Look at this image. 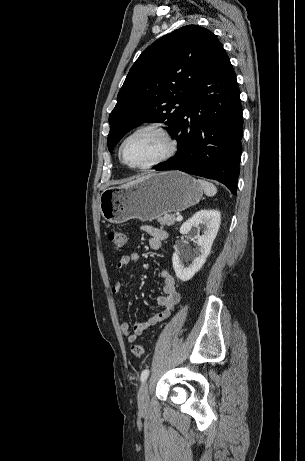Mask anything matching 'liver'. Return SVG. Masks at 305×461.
I'll use <instances>...</instances> for the list:
<instances>
[{
    "mask_svg": "<svg viewBox=\"0 0 305 461\" xmlns=\"http://www.w3.org/2000/svg\"><path fill=\"white\" fill-rule=\"evenodd\" d=\"M142 178H143V177H142ZM142 178H139V179H137V180H135V181H131V182L127 183V184H124V185H122V187H126V186L133 185V184H135L136 182H138L139 180H141Z\"/></svg>",
    "mask_w": 305,
    "mask_h": 461,
    "instance_id": "obj_1",
    "label": "liver"
}]
</instances>
